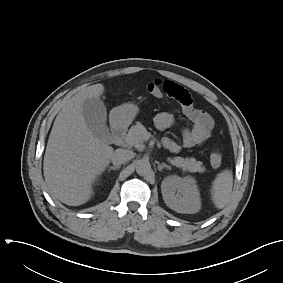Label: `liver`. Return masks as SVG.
<instances>
[{"instance_id": "6515ba94", "label": "liver", "mask_w": 283, "mask_h": 283, "mask_svg": "<svg viewBox=\"0 0 283 283\" xmlns=\"http://www.w3.org/2000/svg\"><path fill=\"white\" fill-rule=\"evenodd\" d=\"M103 93L104 86L98 83L66 100L48 139L43 161L45 183L56 199L70 206L82 205L92 197V185L114 152L93 135L82 114L83 102Z\"/></svg>"}]
</instances>
